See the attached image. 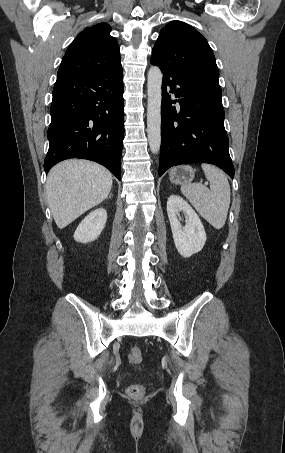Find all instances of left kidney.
I'll return each instance as SVG.
<instances>
[{"instance_id": "left-kidney-1", "label": "left kidney", "mask_w": 285, "mask_h": 453, "mask_svg": "<svg viewBox=\"0 0 285 453\" xmlns=\"http://www.w3.org/2000/svg\"><path fill=\"white\" fill-rule=\"evenodd\" d=\"M180 212L186 215L184 227L179 221ZM167 213L179 254L188 258L201 251L206 241V233L193 208L180 196L171 195L167 201Z\"/></svg>"}]
</instances>
